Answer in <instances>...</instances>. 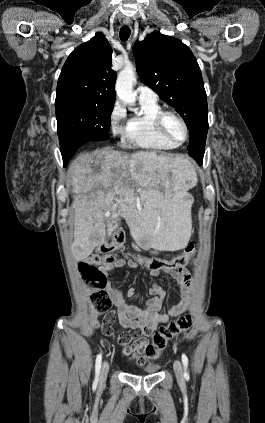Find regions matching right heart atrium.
<instances>
[{
  "instance_id": "1",
  "label": "right heart atrium",
  "mask_w": 265,
  "mask_h": 423,
  "mask_svg": "<svg viewBox=\"0 0 265 423\" xmlns=\"http://www.w3.org/2000/svg\"><path fill=\"white\" fill-rule=\"evenodd\" d=\"M126 118L125 108L116 101L109 113V127L114 136L122 134L124 128L122 123Z\"/></svg>"
}]
</instances>
